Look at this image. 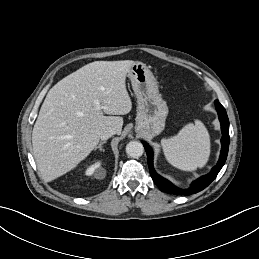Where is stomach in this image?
I'll list each match as a JSON object with an SVG mask.
<instances>
[{
	"label": "stomach",
	"instance_id": "0dacf381",
	"mask_svg": "<svg viewBox=\"0 0 259 259\" xmlns=\"http://www.w3.org/2000/svg\"><path fill=\"white\" fill-rule=\"evenodd\" d=\"M128 77L137 98L136 130L149 135H158L165 127L168 115L166 102L159 94L153 73L142 62H135Z\"/></svg>",
	"mask_w": 259,
	"mask_h": 259
}]
</instances>
